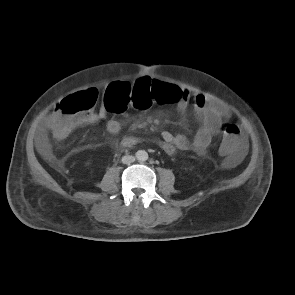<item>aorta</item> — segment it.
I'll list each match as a JSON object with an SVG mask.
<instances>
[{
  "label": "aorta",
  "instance_id": "aorta-1",
  "mask_svg": "<svg viewBox=\"0 0 295 295\" xmlns=\"http://www.w3.org/2000/svg\"><path fill=\"white\" fill-rule=\"evenodd\" d=\"M136 158L139 161H146L148 159V153L145 150H139L136 152Z\"/></svg>",
  "mask_w": 295,
  "mask_h": 295
}]
</instances>
